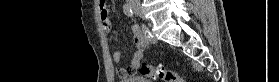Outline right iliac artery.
Returning <instances> with one entry per match:
<instances>
[{
    "mask_svg": "<svg viewBox=\"0 0 279 82\" xmlns=\"http://www.w3.org/2000/svg\"><path fill=\"white\" fill-rule=\"evenodd\" d=\"M123 12L125 13V15H127L128 17H132L133 16V11L132 8L129 4H124L123 5Z\"/></svg>",
    "mask_w": 279,
    "mask_h": 82,
    "instance_id": "right-iliac-artery-1",
    "label": "right iliac artery"
}]
</instances>
